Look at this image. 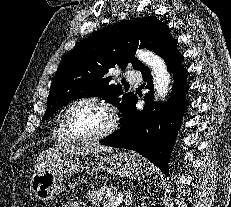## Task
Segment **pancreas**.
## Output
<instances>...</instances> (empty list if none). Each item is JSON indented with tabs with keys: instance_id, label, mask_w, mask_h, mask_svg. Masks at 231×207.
Listing matches in <instances>:
<instances>
[{
	"instance_id": "obj_1",
	"label": "pancreas",
	"mask_w": 231,
	"mask_h": 207,
	"mask_svg": "<svg viewBox=\"0 0 231 207\" xmlns=\"http://www.w3.org/2000/svg\"><path fill=\"white\" fill-rule=\"evenodd\" d=\"M117 189L112 187H99L97 189L90 190L86 193V199L96 205L106 204L109 207V203L116 199ZM104 207V206H103Z\"/></svg>"
}]
</instances>
